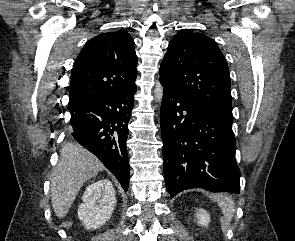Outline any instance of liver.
<instances>
[{
  "label": "liver",
  "instance_id": "obj_1",
  "mask_svg": "<svg viewBox=\"0 0 295 241\" xmlns=\"http://www.w3.org/2000/svg\"><path fill=\"white\" fill-rule=\"evenodd\" d=\"M104 165L91 152L78 144L67 143L51 177V204L58 218H64L83 184Z\"/></svg>",
  "mask_w": 295,
  "mask_h": 241
}]
</instances>
